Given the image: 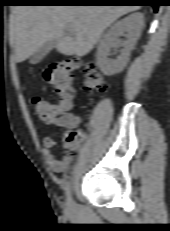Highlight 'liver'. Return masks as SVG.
<instances>
[{"mask_svg": "<svg viewBox=\"0 0 170 231\" xmlns=\"http://www.w3.org/2000/svg\"><path fill=\"white\" fill-rule=\"evenodd\" d=\"M139 9L138 5L16 6L10 16V42L15 59L25 61L50 40L56 42L59 53L83 57L107 27ZM67 28L73 32L69 33Z\"/></svg>", "mask_w": 170, "mask_h": 231, "instance_id": "1", "label": "liver"}]
</instances>
